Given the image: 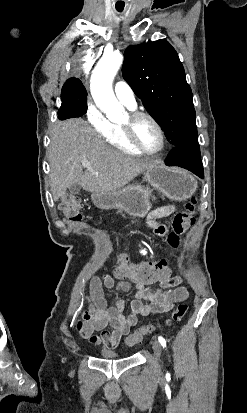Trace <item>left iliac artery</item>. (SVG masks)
Wrapping results in <instances>:
<instances>
[{
  "instance_id": "1",
  "label": "left iliac artery",
  "mask_w": 247,
  "mask_h": 413,
  "mask_svg": "<svg viewBox=\"0 0 247 413\" xmlns=\"http://www.w3.org/2000/svg\"><path fill=\"white\" fill-rule=\"evenodd\" d=\"M158 340H159L160 344L163 346V348L166 347V341L162 336H159Z\"/></svg>"
}]
</instances>
